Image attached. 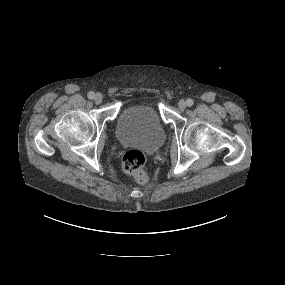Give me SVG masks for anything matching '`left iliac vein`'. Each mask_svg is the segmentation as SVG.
I'll return each instance as SVG.
<instances>
[{
	"instance_id": "left-iliac-vein-1",
	"label": "left iliac vein",
	"mask_w": 285,
	"mask_h": 285,
	"mask_svg": "<svg viewBox=\"0 0 285 285\" xmlns=\"http://www.w3.org/2000/svg\"><path fill=\"white\" fill-rule=\"evenodd\" d=\"M186 107H187V104H186V102H185L184 100H180V101L178 102V108H179L180 110H184Z\"/></svg>"
}]
</instances>
